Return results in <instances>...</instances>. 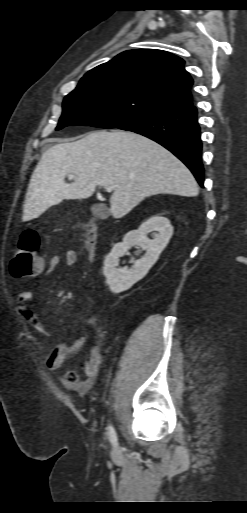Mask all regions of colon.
<instances>
[{"mask_svg":"<svg viewBox=\"0 0 247 513\" xmlns=\"http://www.w3.org/2000/svg\"><path fill=\"white\" fill-rule=\"evenodd\" d=\"M39 236L35 230H25L18 241L10 271L14 278H24L40 270L42 264L38 257Z\"/></svg>","mask_w":247,"mask_h":513,"instance_id":"obj_1","label":"colon"}]
</instances>
